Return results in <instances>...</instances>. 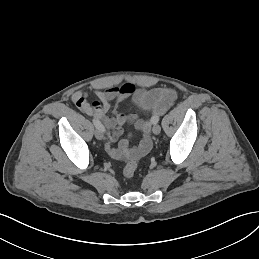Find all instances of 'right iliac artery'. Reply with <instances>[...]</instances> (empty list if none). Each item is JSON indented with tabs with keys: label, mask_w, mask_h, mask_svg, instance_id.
<instances>
[{
	"label": "right iliac artery",
	"mask_w": 259,
	"mask_h": 259,
	"mask_svg": "<svg viewBox=\"0 0 259 259\" xmlns=\"http://www.w3.org/2000/svg\"><path fill=\"white\" fill-rule=\"evenodd\" d=\"M92 121L97 129L101 130L102 132H105V128L100 121H98L96 119H92Z\"/></svg>",
	"instance_id": "right-iliac-artery-1"
}]
</instances>
